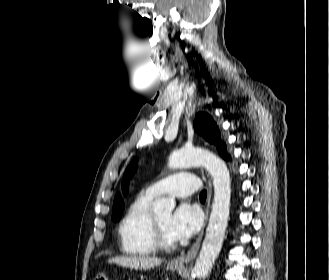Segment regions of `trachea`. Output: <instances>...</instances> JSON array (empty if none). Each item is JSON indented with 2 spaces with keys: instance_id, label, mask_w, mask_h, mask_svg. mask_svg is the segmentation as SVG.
Listing matches in <instances>:
<instances>
[{
  "instance_id": "1",
  "label": "trachea",
  "mask_w": 329,
  "mask_h": 280,
  "mask_svg": "<svg viewBox=\"0 0 329 280\" xmlns=\"http://www.w3.org/2000/svg\"><path fill=\"white\" fill-rule=\"evenodd\" d=\"M206 197H207V191H206V190H203V191L200 193V199H201V200H206Z\"/></svg>"
}]
</instances>
